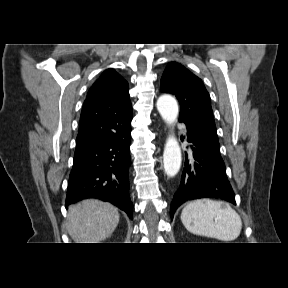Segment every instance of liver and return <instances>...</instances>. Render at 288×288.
<instances>
[{
	"label": "liver",
	"mask_w": 288,
	"mask_h": 288,
	"mask_svg": "<svg viewBox=\"0 0 288 288\" xmlns=\"http://www.w3.org/2000/svg\"><path fill=\"white\" fill-rule=\"evenodd\" d=\"M119 212L110 203L87 199L68 209V233L75 243H99L116 229Z\"/></svg>",
	"instance_id": "6515ba94"
}]
</instances>
